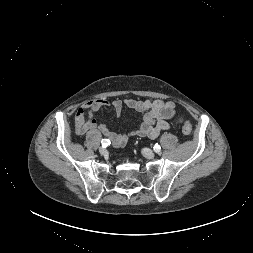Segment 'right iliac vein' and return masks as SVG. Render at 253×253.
<instances>
[{"mask_svg":"<svg viewBox=\"0 0 253 253\" xmlns=\"http://www.w3.org/2000/svg\"><path fill=\"white\" fill-rule=\"evenodd\" d=\"M99 152H100L101 155H104V156L107 155V153H108V151L105 148H103V147H101L99 149Z\"/></svg>","mask_w":253,"mask_h":253,"instance_id":"right-iliac-vein-1","label":"right iliac vein"}]
</instances>
